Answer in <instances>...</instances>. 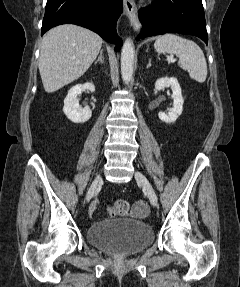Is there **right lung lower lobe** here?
<instances>
[{
	"instance_id": "right-lung-lower-lobe-1",
	"label": "right lung lower lobe",
	"mask_w": 240,
	"mask_h": 287,
	"mask_svg": "<svg viewBox=\"0 0 240 287\" xmlns=\"http://www.w3.org/2000/svg\"><path fill=\"white\" fill-rule=\"evenodd\" d=\"M122 11V0H47L41 32L43 35L60 24H76L115 43L118 51L122 40L116 32V23Z\"/></svg>"
}]
</instances>
